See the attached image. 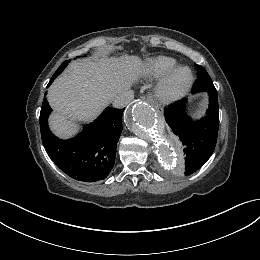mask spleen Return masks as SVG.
<instances>
[{
  "mask_svg": "<svg viewBox=\"0 0 260 260\" xmlns=\"http://www.w3.org/2000/svg\"><path fill=\"white\" fill-rule=\"evenodd\" d=\"M201 116V113H195L193 114V117H200Z\"/></svg>",
  "mask_w": 260,
  "mask_h": 260,
  "instance_id": "spleen-1",
  "label": "spleen"
}]
</instances>
